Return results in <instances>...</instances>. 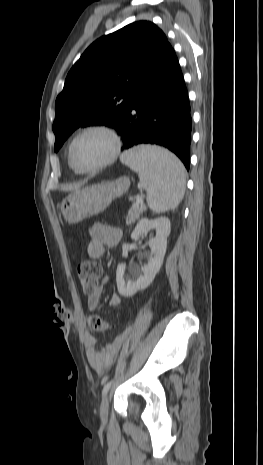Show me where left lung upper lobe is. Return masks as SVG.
I'll return each instance as SVG.
<instances>
[{
  "mask_svg": "<svg viewBox=\"0 0 263 465\" xmlns=\"http://www.w3.org/2000/svg\"><path fill=\"white\" fill-rule=\"evenodd\" d=\"M168 44L163 31L138 21L93 42L69 71L55 103L57 152L78 127L119 130L132 89Z\"/></svg>",
  "mask_w": 263,
  "mask_h": 465,
  "instance_id": "1",
  "label": "left lung upper lobe"
}]
</instances>
